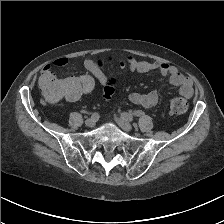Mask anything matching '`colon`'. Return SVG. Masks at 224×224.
Returning a JSON list of instances; mask_svg holds the SVG:
<instances>
[{
	"label": "colon",
	"mask_w": 224,
	"mask_h": 224,
	"mask_svg": "<svg viewBox=\"0 0 224 224\" xmlns=\"http://www.w3.org/2000/svg\"><path fill=\"white\" fill-rule=\"evenodd\" d=\"M93 80L89 77L70 78L62 82L55 77L48 78L41 83L44 97L51 102H56L62 98L76 100L83 94L92 90ZM114 80L105 84L104 99L109 100L114 93ZM169 110L174 114H183L188 109V102L184 97L175 96L169 100Z\"/></svg>",
	"instance_id": "obj_1"
}]
</instances>
